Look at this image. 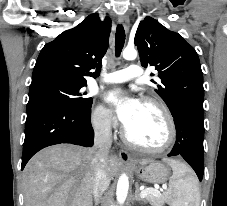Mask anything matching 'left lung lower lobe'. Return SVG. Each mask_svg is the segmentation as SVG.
<instances>
[{
    "label": "left lung lower lobe",
    "instance_id": "left-lung-lower-lobe-1",
    "mask_svg": "<svg viewBox=\"0 0 227 206\" xmlns=\"http://www.w3.org/2000/svg\"><path fill=\"white\" fill-rule=\"evenodd\" d=\"M172 116L176 127V143L168 156H182L191 165L201 181L204 172L203 106L183 105Z\"/></svg>",
    "mask_w": 227,
    "mask_h": 206
}]
</instances>
